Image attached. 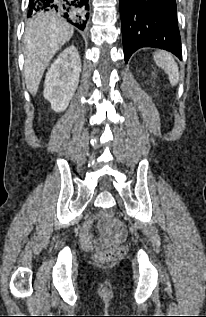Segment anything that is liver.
I'll list each match as a JSON object with an SVG mask.
<instances>
[{
  "label": "liver",
  "instance_id": "1",
  "mask_svg": "<svg viewBox=\"0 0 206 317\" xmlns=\"http://www.w3.org/2000/svg\"><path fill=\"white\" fill-rule=\"evenodd\" d=\"M74 29L62 18L41 14L26 26L23 37L24 76L31 95H36L42 75L55 53L73 36Z\"/></svg>",
  "mask_w": 206,
  "mask_h": 317
}]
</instances>
